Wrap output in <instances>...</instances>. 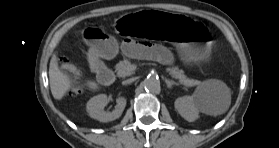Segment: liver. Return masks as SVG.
<instances>
[{
  "instance_id": "obj_1",
  "label": "liver",
  "mask_w": 279,
  "mask_h": 148,
  "mask_svg": "<svg viewBox=\"0 0 279 148\" xmlns=\"http://www.w3.org/2000/svg\"><path fill=\"white\" fill-rule=\"evenodd\" d=\"M49 83L51 93L57 100H61L74 87V80L60 69L56 54L50 60ZM86 86L91 90L98 89V84L94 81H87Z\"/></svg>"
}]
</instances>
